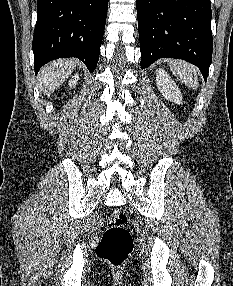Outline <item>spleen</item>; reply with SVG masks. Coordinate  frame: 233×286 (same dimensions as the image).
<instances>
[{
	"label": "spleen",
	"mask_w": 233,
	"mask_h": 286,
	"mask_svg": "<svg viewBox=\"0 0 233 286\" xmlns=\"http://www.w3.org/2000/svg\"><path fill=\"white\" fill-rule=\"evenodd\" d=\"M168 64L172 73L189 88L197 89L199 86L198 82V69L182 60H169Z\"/></svg>",
	"instance_id": "3e777b00"
}]
</instances>
